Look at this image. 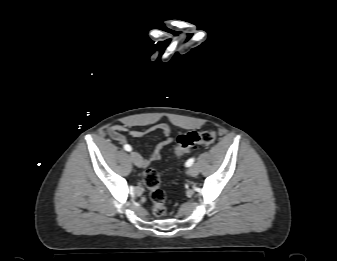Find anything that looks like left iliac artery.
Wrapping results in <instances>:
<instances>
[{
    "mask_svg": "<svg viewBox=\"0 0 337 261\" xmlns=\"http://www.w3.org/2000/svg\"><path fill=\"white\" fill-rule=\"evenodd\" d=\"M194 161H195V159H194V158H190L189 160H187V162H186V166H187V167H190V166H192V165H193V163H194Z\"/></svg>",
    "mask_w": 337,
    "mask_h": 261,
    "instance_id": "obj_1",
    "label": "left iliac artery"
}]
</instances>
